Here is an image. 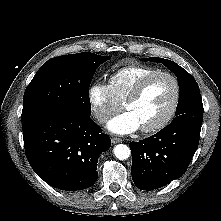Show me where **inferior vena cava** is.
I'll return each mask as SVG.
<instances>
[{"mask_svg": "<svg viewBox=\"0 0 221 221\" xmlns=\"http://www.w3.org/2000/svg\"><path fill=\"white\" fill-rule=\"evenodd\" d=\"M96 118L98 119L99 122H105L108 120L109 116L105 113L97 112Z\"/></svg>", "mask_w": 221, "mask_h": 221, "instance_id": "obj_1", "label": "inferior vena cava"}]
</instances>
